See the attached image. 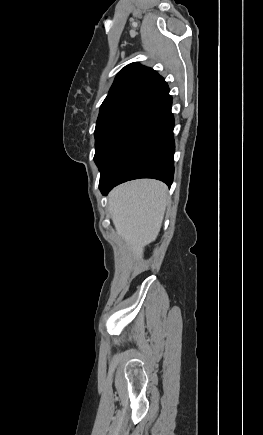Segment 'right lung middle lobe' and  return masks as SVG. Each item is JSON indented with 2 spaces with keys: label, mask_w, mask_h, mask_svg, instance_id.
<instances>
[{
  "label": "right lung middle lobe",
  "mask_w": 263,
  "mask_h": 435,
  "mask_svg": "<svg viewBox=\"0 0 263 435\" xmlns=\"http://www.w3.org/2000/svg\"><path fill=\"white\" fill-rule=\"evenodd\" d=\"M143 106L135 103H123L100 108L94 133V160L100 171L113 156L120 138Z\"/></svg>",
  "instance_id": "dd1d6c3e"
}]
</instances>
